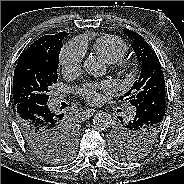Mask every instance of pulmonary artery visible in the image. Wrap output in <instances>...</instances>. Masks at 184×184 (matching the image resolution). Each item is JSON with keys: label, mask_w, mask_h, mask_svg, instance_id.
Returning a JSON list of instances; mask_svg holds the SVG:
<instances>
[{"label": "pulmonary artery", "mask_w": 184, "mask_h": 184, "mask_svg": "<svg viewBox=\"0 0 184 184\" xmlns=\"http://www.w3.org/2000/svg\"><path fill=\"white\" fill-rule=\"evenodd\" d=\"M61 100H62V97H61V96H57V97L54 99V103H55V104H58ZM134 110H135L134 107H130L129 113L132 114V113L134 112Z\"/></svg>", "instance_id": "obj_1"}]
</instances>
